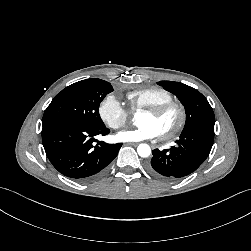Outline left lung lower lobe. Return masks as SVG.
<instances>
[{
    "label": "left lung lower lobe",
    "mask_w": 251,
    "mask_h": 251,
    "mask_svg": "<svg viewBox=\"0 0 251 251\" xmlns=\"http://www.w3.org/2000/svg\"><path fill=\"white\" fill-rule=\"evenodd\" d=\"M214 140V129L195 128L182 132L177 146L152 151L148 171L155 177L175 181L194 172L209 155Z\"/></svg>",
    "instance_id": "left-lung-lower-lobe-1"
}]
</instances>
